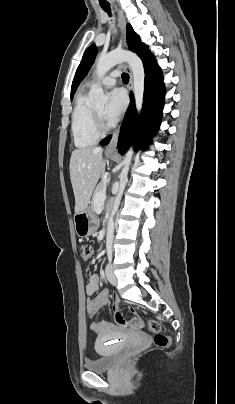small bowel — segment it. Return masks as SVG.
<instances>
[{
    "label": "small bowel",
    "mask_w": 235,
    "mask_h": 404,
    "mask_svg": "<svg viewBox=\"0 0 235 404\" xmlns=\"http://www.w3.org/2000/svg\"><path fill=\"white\" fill-rule=\"evenodd\" d=\"M100 277L97 274H93L89 277V281L86 285V292L88 295H93L99 290ZM107 301V293L102 292L96 298L87 302V311L90 316H94L98 313L101 307ZM113 308L116 310V300L114 299ZM117 312V311H116ZM91 330L97 334L96 344L100 346L102 342L108 341L111 338L120 335L121 331L119 327L111 322L98 321L91 324Z\"/></svg>",
    "instance_id": "small-bowel-1"
}]
</instances>
